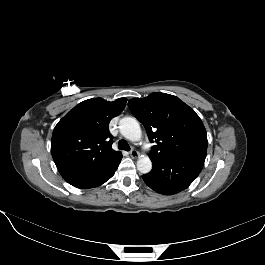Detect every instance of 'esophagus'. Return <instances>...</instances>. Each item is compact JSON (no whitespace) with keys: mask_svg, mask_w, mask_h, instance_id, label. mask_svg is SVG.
<instances>
[{"mask_svg":"<svg viewBox=\"0 0 265 265\" xmlns=\"http://www.w3.org/2000/svg\"><path fill=\"white\" fill-rule=\"evenodd\" d=\"M130 155L133 157V158H136L139 156V153L138 151H136L135 149H131L130 151Z\"/></svg>","mask_w":265,"mask_h":265,"instance_id":"esophagus-1","label":"esophagus"}]
</instances>
